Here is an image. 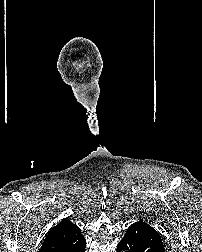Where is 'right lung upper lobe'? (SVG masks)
Masks as SVG:
<instances>
[{
	"label": "right lung upper lobe",
	"mask_w": 202,
	"mask_h": 252,
	"mask_svg": "<svg viewBox=\"0 0 202 252\" xmlns=\"http://www.w3.org/2000/svg\"><path fill=\"white\" fill-rule=\"evenodd\" d=\"M85 242L79 227L63 219L49 231L39 252H79Z\"/></svg>",
	"instance_id": "1"
}]
</instances>
